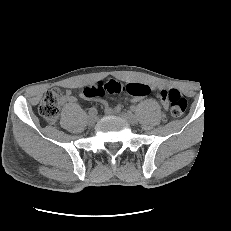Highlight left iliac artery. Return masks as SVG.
<instances>
[{"instance_id":"left-iliac-artery-1","label":"left iliac artery","mask_w":231,"mask_h":231,"mask_svg":"<svg viewBox=\"0 0 231 231\" xmlns=\"http://www.w3.org/2000/svg\"><path fill=\"white\" fill-rule=\"evenodd\" d=\"M130 109H131V111H133V112L136 111V107H135V106H131Z\"/></svg>"}]
</instances>
